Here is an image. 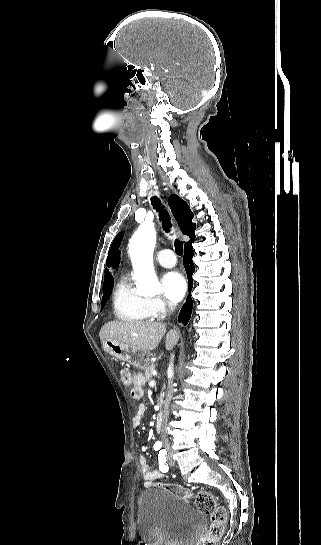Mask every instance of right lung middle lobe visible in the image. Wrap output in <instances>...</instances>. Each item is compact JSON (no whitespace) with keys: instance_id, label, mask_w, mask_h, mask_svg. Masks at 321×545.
<instances>
[{"instance_id":"1","label":"right lung middle lobe","mask_w":321,"mask_h":545,"mask_svg":"<svg viewBox=\"0 0 321 545\" xmlns=\"http://www.w3.org/2000/svg\"><path fill=\"white\" fill-rule=\"evenodd\" d=\"M112 288L113 286L109 287V288H106V289H103V297H102V305H101V309H103V307L105 306L106 302H107V299L109 298L110 296V293L112 291Z\"/></svg>"}]
</instances>
